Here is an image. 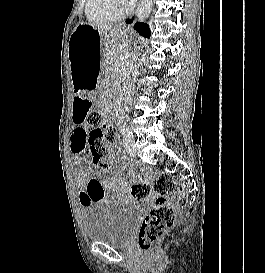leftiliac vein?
I'll use <instances>...</instances> for the list:
<instances>
[{"instance_id": "1", "label": "left iliac vein", "mask_w": 265, "mask_h": 273, "mask_svg": "<svg viewBox=\"0 0 265 273\" xmlns=\"http://www.w3.org/2000/svg\"><path fill=\"white\" fill-rule=\"evenodd\" d=\"M124 148L127 151V153L130 154L131 156L135 155L133 138L125 137V139H124Z\"/></svg>"}]
</instances>
